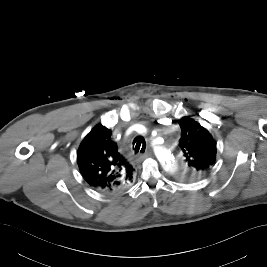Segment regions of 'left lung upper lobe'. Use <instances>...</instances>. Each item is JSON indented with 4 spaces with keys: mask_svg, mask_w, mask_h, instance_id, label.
I'll return each instance as SVG.
<instances>
[{
    "mask_svg": "<svg viewBox=\"0 0 267 267\" xmlns=\"http://www.w3.org/2000/svg\"><path fill=\"white\" fill-rule=\"evenodd\" d=\"M179 125L182 130L179 144L185 156L181 178L184 181L199 180L215 164L216 143L205 128L189 117H183Z\"/></svg>",
    "mask_w": 267,
    "mask_h": 267,
    "instance_id": "obj_1",
    "label": "left lung upper lobe"
}]
</instances>
